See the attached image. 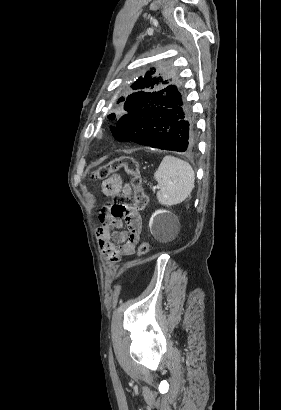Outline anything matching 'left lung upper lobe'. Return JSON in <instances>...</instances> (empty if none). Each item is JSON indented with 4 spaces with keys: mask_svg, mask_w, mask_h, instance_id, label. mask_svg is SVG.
I'll use <instances>...</instances> for the list:
<instances>
[{
    "mask_svg": "<svg viewBox=\"0 0 281 410\" xmlns=\"http://www.w3.org/2000/svg\"><path fill=\"white\" fill-rule=\"evenodd\" d=\"M178 81L175 71L168 66L152 68L144 77H140L130 87L132 91L124 98H120L123 109L127 114H133L143 109L151 100L153 95L165 87ZM115 114L108 115L109 119H115ZM115 127H111V130ZM113 134V133H112Z\"/></svg>",
    "mask_w": 281,
    "mask_h": 410,
    "instance_id": "1",
    "label": "left lung upper lobe"
}]
</instances>
